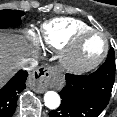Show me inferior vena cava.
I'll return each instance as SVG.
<instances>
[{
	"instance_id": "obj_1",
	"label": "inferior vena cava",
	"mask_w": 117,
	"mask_h": 117,
	"mask_svg": "<svg viewBox=\"0 0 117 117\" xmlns=\"http://www.w3.org/2000/svg\"><path fill=\"white\" fill-rule=\"evenodd\" d=\"M38 61L33 58H22L18 63V68L30 71L37 67Z\"/></svg>"
}]
</instances>
